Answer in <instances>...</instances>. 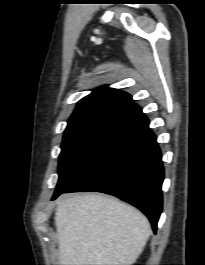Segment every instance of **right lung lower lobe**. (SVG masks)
Listing matches in <instances>:
<instances>
[{
    "mask_svg": "<svg viewBox=\"0 0 205 265\" xmlns=\"http://www.w3.org/2000/svg\"><path fill=\"white\" fill-rule=\"evenodd\" d=\"M164 169L157 138L141 116L129 124L65 189L54 193L96 191L116 196L140 209L153 231L162 212Z\"/></svg>",
    "mask_w": 205,
    "mask_h": 265,
    "instance_id": "right-lung-lower-lobe-1",
    "label": "right lung lower lobe"
}]
</instances>
